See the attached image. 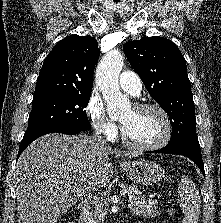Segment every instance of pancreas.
<instances>
[{"instance_id":"obj_1","label":"pancreas","mask_w":221,"mask_h":223,"mask_svg":"<svg viewBox=\"0 0 221 223\" xmlns=\"http://www.w3.org/2000/svg\"><path fill=\"white\" fill-rule=\"evenodd\" d=\"M128 207L134 215L143 217H157L160 215L156 201L146 199L137 188L127 186ZM105 210L102 203L95 204L94 209L81 218L80 223H100L105 218Z\"/></svg>"}]
</instances>
